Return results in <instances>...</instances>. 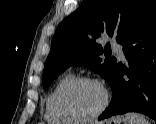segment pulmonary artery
I'll return each instance as SVG.
<instances>
[{"instance_id": "pulmonary-artery-1", "label": "pulmonary artery", "mask_w": 156, "mask_h": 124, "mask_svg": "<svg viewBox=\"0 0 156 124\" xmlns=\"http://www.w3.org/2000/svg\"><path fill=\"white\" fill-rule=\"evenodd\" d=\"M112 50L120 59L125 60L123 47L121 44H119L115 41H112Z\"/></svg>"}]
</instances>
